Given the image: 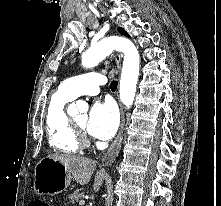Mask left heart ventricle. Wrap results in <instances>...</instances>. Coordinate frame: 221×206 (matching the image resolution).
I'll return each instance as SVG.
<instances>
[{
	"label": "left heart ventricle",
	"instance_id": "obj_1",
	"mask_svg": "<svg viewBox=\"0 0 221 206\" xmlns=\"http://www.w3.org/2000/svg\"><path fill=\"white\" fill-rule=\"evenodd\" d=\"M75 121L82 127H85L86 121H87V115L81 114L75 118Z\"/></svg>",
	"mask_w": 221,
	"mask_h": 206
}]
</instances>
